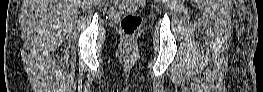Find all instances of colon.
Here are the masks:
<instances>
[{
    "instance_id": "obj_1",
    "label": "colon",
    "mask_w": 263,
    "mask_h": 92,
    "mask_svg": "<svg viewBox=\"0 0 263 92\" xmlns=\"http://www.w3.org/2000/svg\"><path fill=\"white\" fill-rule=\"evenodd\" d=\"M137 2L143 3L144 0H138ZM142 23L140 15L135 13H127L121 20V29L126 38L131 39L135 36L138 28Z\"/></svg>"
}]
</instances>
